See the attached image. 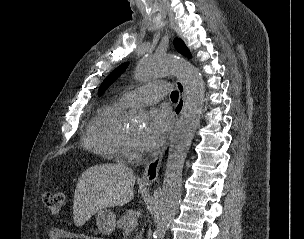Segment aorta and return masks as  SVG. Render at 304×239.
I'll use <instances>...</instances> for the list:
<instances>
[{
	"label": "aorta",
	"mask_w": 304,
	"mask_h": 239,
	"mask_svg": "<svg viewBox=\"0 0 304 239\" xmlns=\"http://www.w3.org/2000/svg\"><path fill=\"white\" fill-rule=\"evenodd\" d=\"M166 75H176L182 80L186 98L169 147L157 208V225L154 232L157 239H164L177 212L182 192V169L199 124L205 100L202 75L185 59L171 55L145 57L136 68V78L139 82H147Z\"/></svg>",
	"instance_id": "1"
}]
</instances>
